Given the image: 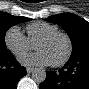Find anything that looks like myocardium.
Instances as JSON below:
<instances>
[{
	"label": "myocardium",
	"mask_w": 89,
	"mask_h": 89,
	"mask_svg": "<svg viewBox=\"0 0 89 89\" xmlns=\"http://www.w3.org/2000/svg\"><path fill=\"white\" fill-rule=\"evenodd\" d=\"M58 36H61V37L65 38L68 48H67V52H66L65 56L61 60L51 63V65L53 67H61V66L65 65L70 60V58L72 57V54H73V42H72L71 37L65 32L56 31V32H52V33H49L47 35H44L34 45L35 48H37V45L39 43L50 41V40H52V39H54V38H56Z\"/></svg>",
	"instance_id": "obj_1"
}]
</instances>
